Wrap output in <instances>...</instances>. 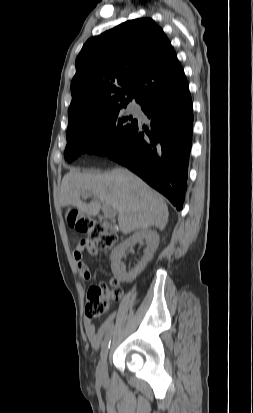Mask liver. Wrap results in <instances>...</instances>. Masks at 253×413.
<instances>
[{
	"mask_svg": "<svg viewBox=\"0 0 253 413\" xmlns=\"http://www.w3.org/2000/svg\"><path fill=\"white\" fill-rule=\"evenodd\" d=\"M84 193L93 194L97 200L84 203L80 199ZM100 202L117 212L123 234L154 226L163 230L168 222L169 212L163 197L127 169L115 168L104 174L72 169L64 176L60 189L61 206L74 205L79 217H95L100 212Z\"/></svg>",
	"mask_w": 253,
	"mask_h": 413,
	"instance_id": "obj_1",
	"label": "liver"
}]
</instances>
